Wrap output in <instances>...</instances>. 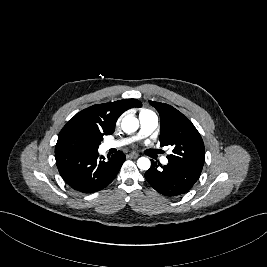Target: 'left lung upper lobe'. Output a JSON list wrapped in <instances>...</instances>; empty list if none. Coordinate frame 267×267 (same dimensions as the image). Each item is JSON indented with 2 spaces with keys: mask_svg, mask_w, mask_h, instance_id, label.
<instances>
[{
  "mask_svg": "<svg viewBox=\"0 0 267 267\" xmlns=\"http://www.w3.org/2000/svg\"><path fill=\"white\" fill-rule=\"evenodd\" d=\"M149 103L160 115V144L172 146L168 162L202 171L205 147L201 135L192 122L174 107L155 101Z\"/></svg>",
  "mask_w": 267,
  "mask_h": 267,
  "instance_id": "5c2ea615",
  "label": "left lung upper lobe"
}]
</instances>
